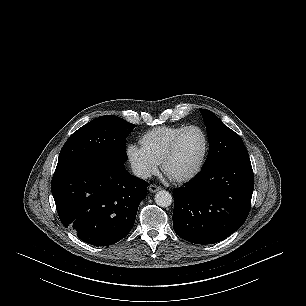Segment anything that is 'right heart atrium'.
I'll return each instance as SVG.
<instances>
[{
    "instance_id": "obj_1",
    "label": "right heart atrium",
    "mask_w": 306,
    "mask_h": 306,
    "mask_svg": "<svg viewBox=\"0 0 306 306\" xmlns=\"http://www.w3.org/2000/svg\"><path fill=\"white\" fill-rule=\"evenodd\" d=\"M126 157L133 173L141 179H148L158 170L159 163L144 148L136 144L127 146Z\"/></svg>"
}]
</instances>
